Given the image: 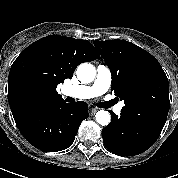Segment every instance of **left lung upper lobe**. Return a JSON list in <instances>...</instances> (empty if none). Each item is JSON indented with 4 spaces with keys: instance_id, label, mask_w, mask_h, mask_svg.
Here are the masks:
<instances>
[{
    "instance_id": "1",
    "label": "left lung upper lobe",
    "mask_w": 178,
    "mask_h": 178,
    "mask_svg": "<svg viewBox=\"0 0 178 178\" xmlns=\"http://www.w3.org/2000/svg\"><path fill=\"white\" fill-rule=\"evenodd\" d=\"M112 74L122 113L163 129L170 108L169 82L155 57L125 40L95 41Z\"/></svg>"
}]
</instances>
